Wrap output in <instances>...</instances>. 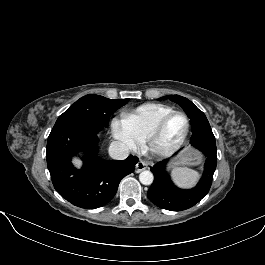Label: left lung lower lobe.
I'll return each instance as SVG.
<instances>
[{
    "label": "left lung lower lobe",
    "instance_id": "1",
    "mask_svg": "<svg viewBox=\"0 0 265 265\" xmlns=\"http://www.w3.org/2000/svg\"><path fill=\"white\" fill-rule=\"evenodd\" d=\"M192 132L190 144L199 149L207 158L204 173L194 188L183 190L177 188L171 182L166 172V165L170 159L159 161L151 167L154 182L147 195L152 203L162 209L170 211L186 210L198 203L210 190L217 165L215 137L210 125L199 126L192 129Z\"/></svg>",
    "mask_w": 265,
    "mask_h": 265
}]
</instances>
